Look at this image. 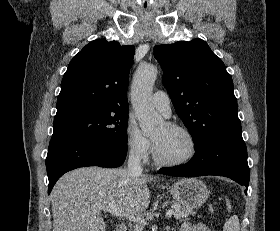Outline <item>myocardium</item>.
I'll return each mask as SVG.
<instances>
[{
	"label": "myocardium",
	"mask_w": 280,
	"mask_h": 231,
	"mask_svg": "<svg viewBox=\"0 0 280 231\" xmlns=\"http://www.w3.org/2000/svg\"><path fill=\"white\" fill-rule=\"evenodd\" d=\"M166 125L171 127L174 130L182 132L189 138L190 143H191V152L186 157L181 158V159L166 160V159H163L158 154L157 149H155L154 158H155L156 162L159 165L165 166V167H177V166H181V165L189 163L196 157V155L198 153V141H197L195 134L188 127L181 125V124L168 122V123H166Z\"/></svg>",
	"instance_id": "1"
}]
</instances>
